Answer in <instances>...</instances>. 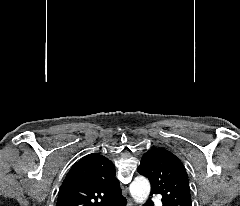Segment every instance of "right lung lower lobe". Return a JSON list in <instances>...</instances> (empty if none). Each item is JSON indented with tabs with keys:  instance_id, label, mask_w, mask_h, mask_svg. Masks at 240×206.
<instances>
[{
	"instance_id": "obj_1",
	"label": "right lung lower lobe",
	"mask_w": 240,
	"mask_h": 206,
	"mask_svg": "<svg viewBox=\"0 0 240 206\" xmlns=\"http://www.w3.org/2000/svg\"><path fill=\"white\" fill-rule=\"evenodd\" d=\"M119 205H126V199L122 196L121 193L116 197L110 199L103 206H119Z\"/></svg>"
}]
</instances>
